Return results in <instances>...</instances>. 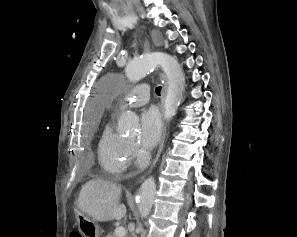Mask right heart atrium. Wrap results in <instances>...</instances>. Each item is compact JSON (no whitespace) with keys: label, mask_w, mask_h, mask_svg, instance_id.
Listing matches in <instances>:
<instances>
[{"label":"right heart atrium","mask_w":297,"mask_h":237,"mask_svg":"<svg viewBox=\"0 0 297 237\" xmlns=\"http://www.w3.org/2000/svg\"><path fill=\"white\" fill-rule=\"evenodd\" d=\"M129 150H130V158L136 162L140 154L139 149L136 147V145L129 143Z\"/></svg>","instance_id":"1"}]
</instances>
